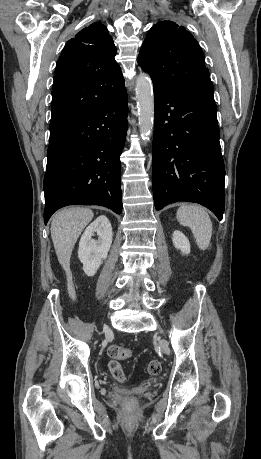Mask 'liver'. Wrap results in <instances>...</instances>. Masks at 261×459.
<instances>
[{
  "label": "liver",
  "instance_id": "1",
  "mask_svg": "<svg viewBox=\"0 0 261 459\" xmlns=\"http://www.w3.org/2000/svg\"><path fill=\"white\" fill-rule=\"evenodd\" d=\"M94 213L89 208L71 207L57 212L51 222V238L61 266L69 272L70 257L74 245L92 220Z\"/></svg>",
  "mask_w": 261,
  "mask_h": 459
}]
</instances>
